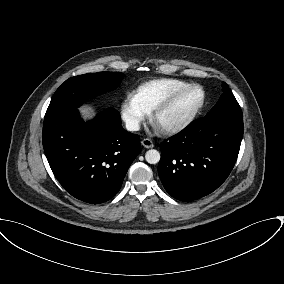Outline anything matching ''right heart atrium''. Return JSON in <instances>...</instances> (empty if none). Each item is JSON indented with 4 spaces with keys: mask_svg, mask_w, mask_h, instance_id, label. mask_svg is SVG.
Returning a JSON list of instances; mask_svg holds the SVG:
<instances>
[{
    "mask_svg": "<svg viewBox=\"0 0 284 284\" xmlns=\"http://www.w3.org/2000/svg\"><path fill=\"white\" fill-rule=\"evenodd\" d=\"M120 115L125 127L129 131H136L148 116V112L138 102L134 94H128L121 103Z\"/></svg>",
    "mask_w": 284,
    "mask_h": 284,
    "instance_id": "1",
    "label": "right heart atrium"
}]
</instances>
